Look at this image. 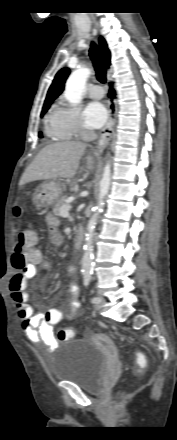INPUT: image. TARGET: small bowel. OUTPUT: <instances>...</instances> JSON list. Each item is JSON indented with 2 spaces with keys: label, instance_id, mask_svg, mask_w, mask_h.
<instances>
[{
  "label": "small bowel",
  "instance_id": "1",
  "mask_svg": "<svg viewBox=\"0 0 177 440\" xmlns=\"http://www.w3.org/2000/svg\"><path fill=\"white\" fill-rule=\"evenodd\" d=\"M48 236L52 244L60 246L63 244V236L58 231L59 221L52 214L47 215ZM36 256L32 262L24 269L16 270L8 281V289L11 292L16 312L21 320V327L25 336L36 345H43L48 350H52L57 345V339L54 333V326L63 319H71L81 313V304L73 299L70 302L71 310L63 314L60 310L52 307H46L44 310L34 312L32 306L28 303L26 293L27 280L33 278L40 267L42 270H48L49 264L45 262L41 253L36 251ZM76 272L75 266L68 268L69 275L73 276ZM69 290L73 295L78 293V287L74 282H70Z\"/></svg>",
  "mask_w": 177,
  "mask_h": 440
}]
</instances>
